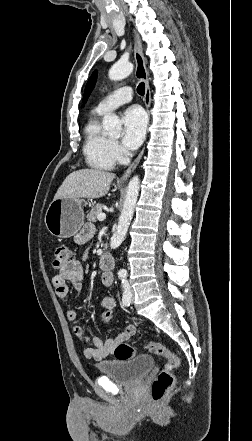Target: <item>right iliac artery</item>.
<instances>
[{"mask_svg": "<svg viewBox=\"0 0 252 441\" xmlns=\"http://www.w3.org/2000/svg\"><path fill=\"white\" fill-rule=\"evenodd\" d=\"M122 287L124 289L123 297H122V304L125 307H129L130 303H131L132 294L130 292V286H129L128 281L122 279Z\"/></svg>", "mask_w": 252, "mask_h": 441, "instance_id": "1", "label": "right iliac artery"}]
</instances>
